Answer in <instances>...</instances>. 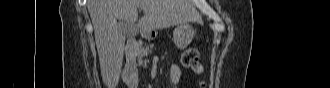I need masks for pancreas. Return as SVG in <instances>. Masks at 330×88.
Returning a JSON list of instances; mask_svg holds the SVG:
<instances>
[{
    "mask_svg": "<svg viewBox=\"0 0 330 88\" xmlns=\"http://www.w3.org/2000/svg\"><path fill=\"white\" fill-rule=\"evenodd\" d=\"M145 51L146 52H151V47L147 46ZM140 57L142 58V55Z\"/></svg>",
    "mask_w": 330,
    "mask_h": 88,
    "instance_id": "cf45deb5",
    "label": "pancreas"
}]
</instances>
